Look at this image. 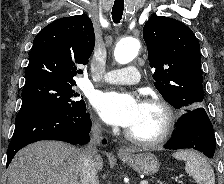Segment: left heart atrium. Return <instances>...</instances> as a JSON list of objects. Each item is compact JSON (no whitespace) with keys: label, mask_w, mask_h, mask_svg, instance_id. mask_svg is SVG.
Segmentation results:
<instances>
[{"label":"left heart atrium","mask_w":224,"mask_h":184,"mask_svg":"<svg viewBox=\"0 0 224 184\" xmlns=\"http://www.w3.org/2000/svg\"><path fill=\"white\" fill-rule=\"evenodd\" d=\"M142 103L133 95L106 92L94 100V106L105 122L130 128L137 120Z\"/></svg>","instance_id":"1"}]
</instances>
